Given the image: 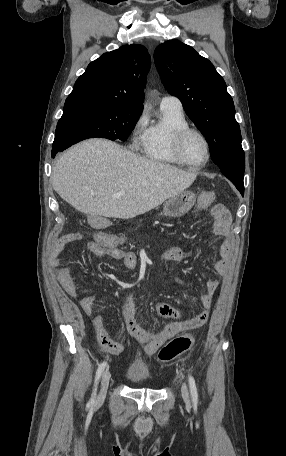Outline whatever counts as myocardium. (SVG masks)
Listing matches in <instances>:
<instances>
[{
    "mask_svg": "<svg viewBox=\"0 0 286 456\" xmlns=\"http://www.w3.org/2000/svg\"><path fill=\"white\" fill-rule=\"evenodd\" d=\"M191 133H195V134L199 135L202 138V140L204 141L205 145H206V158L200 164H193V163L189 162L185 158V156L183 154V151H182L183 141ZM172 150H173V153L175 154V156L184 165H187V166H189L191 168H194V169H200V168L204 167L205 165H207V163L211 159V145H210L209 139L207 138V136L201 130H199L197 128H194V127H190V126L180 128V129L176 130L173 133V136H172Z\"/></svg>",
    "mask_w": 286,
    "mask_h": 456,
    "instance_id": "f54148a6",
    "label": "myocardium"
}]
</instances>
